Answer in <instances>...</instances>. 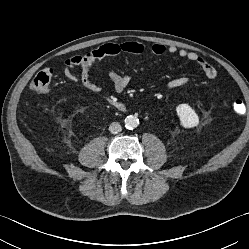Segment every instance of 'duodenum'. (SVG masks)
<instances>
[{"label": "duodenum", "instance_id": "1", "mask_svg": "<svg viewBox=\"0 0 249 249\" xmlns=\"http://www.w3.org/2000/svg\"><path fill=\"white\" fill-rule=\"evenodd\" d=\"M107 100H108L116 109H118V110H120V111H124V110H125V105H124L122 102H120V101H118V100H114V99H112V98H110V97H108Z\"/></svg>", "mask_w": 249, "mask_h": 249}]
</instances>
